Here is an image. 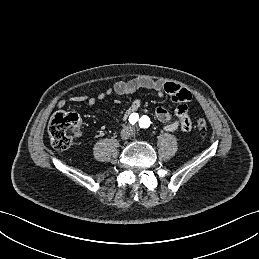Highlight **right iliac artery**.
<instances>
[{"instance_id": "1", "label": "right iliac artery", "mask_w": 259, "mask_h": 259, "mask_svg": "<svg viewBox=\"0 0 259 259\" xmlns=\"http://www.w3.org/2000/svg\"><path fill=\"white\" fill-rule=\"evenodd\" d=\"M139 120V115L137 113H132L129 116V122L134 125Z\"/></svg>"}]
</instances>
